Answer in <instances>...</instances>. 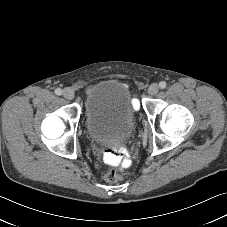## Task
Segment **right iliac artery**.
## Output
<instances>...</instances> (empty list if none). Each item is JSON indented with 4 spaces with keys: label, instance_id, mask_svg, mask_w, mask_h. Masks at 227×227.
Segmentation results:
<instances>
[{
    "label": "right iliac artery",
    "instance_id": "obj_1",
    "mask_svg": "<svg viewBox=\"0 0 227 227\" xmlns=\"http://www.w3.org/2000/svg\"><path fill=\"white\" fill-rule=\"evenodd\" d=\"M55 94H56V95H61V94H62V90H61L60 88H57V89L55 90Z\"/></svg>",
    "mask_w": 227,
    "mask_h": 227
}]
</instances>
